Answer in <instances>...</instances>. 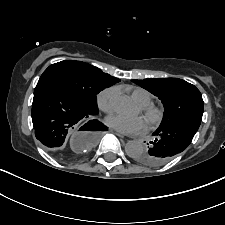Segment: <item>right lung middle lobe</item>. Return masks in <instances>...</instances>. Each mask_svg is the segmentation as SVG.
I'll use <instances>...</instances> for the list:
<instances>
[{
	"label": "right lung middle lobe",
	"instance_id": "right-lung-middle-lobe-1",
	"mask_svg": "<svg viewBox=\"0 0 225 225\" xmlns=\"http://www.w3.org/2000/svg\"><path fill=\"white\" fill-rule=\"evenodd\" d=\"M51 81L78 100L87 109L98 113L96 95L114 82L100 69L81 62L65 60L50 65L39 81Z\"/></svg>",
	"mask_w": 225,
	"mask_h": 225
}]
</instances>
